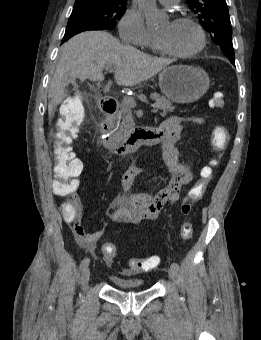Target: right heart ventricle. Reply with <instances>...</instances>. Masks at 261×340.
<instances>
[{
  "label": "right heart ventricle",
  "mask_w": 261,
  "mask_h": 340,
  "mask_svg": "<svg viewBox=\"0 0 261 340\" xmlns=\"http://www.w3.org/2000/svg\"><path fill=\"white\" fill-rule=\"evenodd\" d=\"M145 47L147 49L151 50L152 52H155V53L160 52L154 37H153V39L149 43L146 44Z\"/></svg>",
  "instance_id": "right-heart-ventricle-1"
}]
</instances>
